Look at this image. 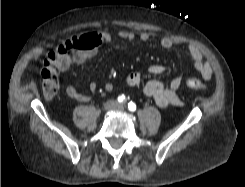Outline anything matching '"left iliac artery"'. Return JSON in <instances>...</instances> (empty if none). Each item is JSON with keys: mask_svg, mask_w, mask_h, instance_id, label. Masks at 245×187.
Wrapping results in <instances>:
<instances>
[{"mask_svg": "<svg viewBox=\"0 0 245 187\" xmlns=\"http://www.w3.org/2000/svg\"><path fill=\"white\" fill-rule=\"evenodd\" d=\"M128 109L131 111V112H134L136 110V104L134 102H129L128 103Z\"/></svg>", "mask_w": 245, "mask_h": 187, "instance_id": "obj_1", "label": "left iliac artery"}]
</instances>
